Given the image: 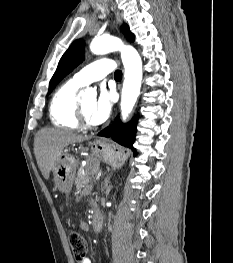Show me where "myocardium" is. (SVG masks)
<instances>
[{"label":"myocardium","mask_w":233,"mask_h":263,"mask_svg":"<svg viewBox=\"0 0 233 263\" xmlns=\"http://www.w3.org/2000/svg\"><path fill=\"white\" fill-rule=\"evenodd\" d=\"M77 115H78V121L81 127L85 129H91L94 127V125L86 117L81 103L78 104Z\"/></svg>","instance_id":"1"}]
</instances>
